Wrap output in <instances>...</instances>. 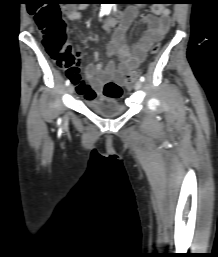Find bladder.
Masks as SVG:
<instances>
[{
    "label": "bladder",
    "mask_w": 218,
    "mask_h": 257,
    "mask_svg": "<svg viewBox=\"0 0 218 257\" xmlns=\"http://www.w3.org/2000/svg\"><path fill=\"white\" fill-rule=\"evenodd\" d=\"M85 104L95 113L105 117L123 114L126 109L123 103L116 97L111 96H100L93 100H85Z\"/></svg>",
    "instance_id": "1"
}]
</instances>
